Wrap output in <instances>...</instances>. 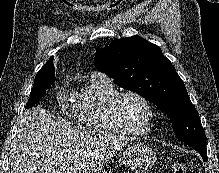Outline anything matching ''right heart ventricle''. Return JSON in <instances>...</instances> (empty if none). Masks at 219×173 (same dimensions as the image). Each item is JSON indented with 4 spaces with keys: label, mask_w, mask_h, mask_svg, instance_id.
Segmentation results:
<instances>
[{
    "label": "right heart ventricle",
    "mask_w": 219,
    "mask_h": 173,
    "mask_svg": "<svg viewBox=\"0 0 219 173\" xmlns=\"http://www.w3.org/2000/svg\"><path fill=\"white\" fill-rule=\"evenodd\" d=\"M118 93L109 79L90 78L79 100L71 105L75 122L90 131L120 135L108 116V103Z\"/></svg>",
    "instance_id": "obj_1"
}]
</instances>
